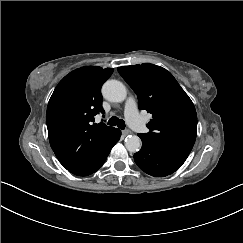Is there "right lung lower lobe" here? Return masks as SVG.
<instances>
[{"label": "right lung lower lobe", "instance_id": "1", "mask_svg": "<svg viewBox=\"0 0 243 243\" xmlns=\"http://www.w3.org/2000/svg\"><path fill=\"white\" fill-rule=\"evenodd\" d=\"M120 136L121 131L117 132L91 160L68 171L77 176H87L96 172L104 164L112 147L118 142Z\"/></svg>", "mask_w": 243, "mask_h": 243}]
</instances>
